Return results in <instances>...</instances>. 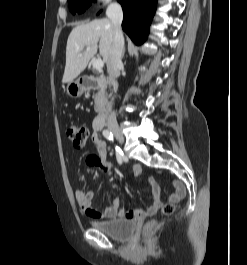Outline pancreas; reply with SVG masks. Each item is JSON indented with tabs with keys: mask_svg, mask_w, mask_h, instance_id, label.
<instances>
[{
	"mask_svg": "<svg viewBox=\"0 0 247 265\" xmlns=\"http://www.w3.org/2000/svg\"><path fill=\"white\" fill-rule=\"evenodd\" d=\"M99 82L98 92L95 94V111H100L106 102L105 86L102 84L101 79H97Z\"/></svg>",
	"mask_w": 247,
	"mask_h": 265,
	"instance_id": "cf45deb5",
	"label": "pancreas"
}]
</instances>
